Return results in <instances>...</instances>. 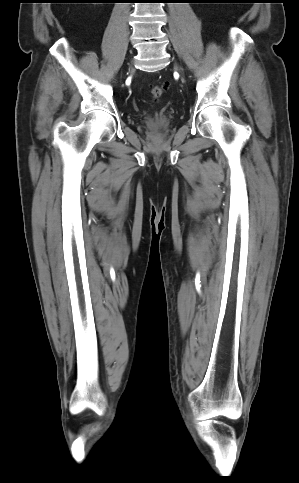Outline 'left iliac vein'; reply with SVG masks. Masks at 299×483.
I'll list each match as a JSON object with an SVG mask.
<instances>
[{"label": "left iliac vein", "mask_w": 299, "mask_h": 483, "mask_svg": "<svg viewBox=\"0 0 299 483\" xmlns=\"http://www.w3.org/2000/svg\"><path fill=\"white\" fill-rule=\"evenodd\" d=\"M176 67H177V69H178V70L181 72V69L179 68V66H178V65H176Z\"/></svg>", "instance_id": "left-iliac-vein-1"}]
</instances>
